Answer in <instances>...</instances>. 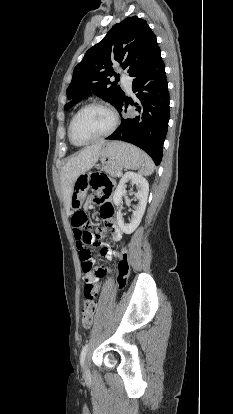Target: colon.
<instances>
[{
  "instance_id": "1",
  "label": "colon",
  "mask_w": 233,
  "mask_h": 414,
  "mask_svg": "<svg viewBox=\"0 0 233 414\" xmlns=\"http://www.w3.org/2000/svg\"><path fill=\"white\" fill-rule=\"evenodd\" d=\"M90 185L96 192L102 194V197L99 198V200L103 202L101 206V214L108 216L112 211V206L110 203L105 202V199L113 192V180L104 173H95L90 178ZM72 224L76 229V240L82 269L84 272L91 271L93 269L94 259L90 251V245L94 241V235L90 230L86 212L81 210L75 212L72 217ZM118 256L120 257V261L117 282L118 287L123 288L129 275L127 250L123 249L118 253ZM97 273L99 276L103 277L106 274V270L101 266L97 269ZM96 296V287L92 284H86L84 288L85 302L82 309V324L86 328H89L93 323L97 309Z\"/></svg>"
}]
</instances>
